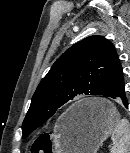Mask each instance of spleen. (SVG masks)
<instances>
[{
  "mask_svg": "<svg viewBox=\"0 0 130 153\" xmlns=\"http://www.w3.org/2000/svg\"><path fill=\"white\" fill-rule=\"evenodd\" d=\"M111 140L114 143L111 153H130V124L127 119L117 122Z\"/></svg>",
  "mask_w": 130,
  "mask_h": 153,
  "instance_id": "3e777b00",
  "label": "spleen"
}]
</instances>
